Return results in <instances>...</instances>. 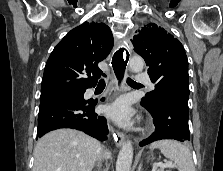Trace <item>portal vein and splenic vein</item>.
Returning <instances> with one entry per match:
<instances>
[{"label":"portal vein and splenic vein","mask_w":223,"mask_h":171,"mask_svg":"<svg viewBox=\"0 0 223 171\" xmlns=\"http://www.w3.org/2000/svg\"><path fill=\"white\" fill-rule=\"evenodd\" d=\"M173 166L174 165L172 164V162H166V163L157 162L153 165L152 171H157L158 167L169 168V167H173Z\"/></svg>","instance_id":"18ae733b"}]
</instances>
